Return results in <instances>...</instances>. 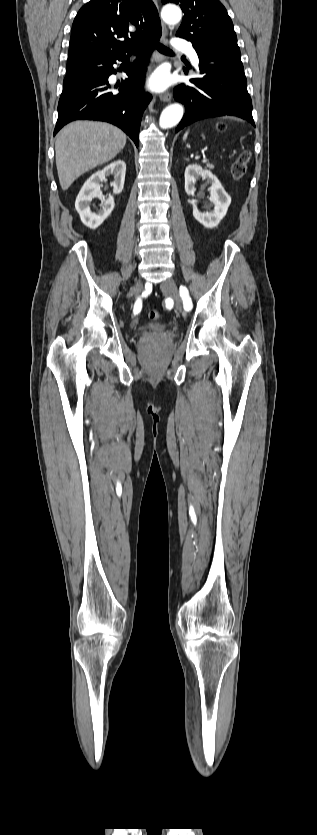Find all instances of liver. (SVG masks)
Returning a JSON list of instances; mask_svg holds the SVG:
<instances>
[{"label":"liver","instance_id":"6515ba94","mask_svg":"<svg viewBox=\"0 0 317 835\" xmlns=\"http://www.w3.org/2000/svg\"><path fill=\"white\" fill-rule=\"evenodd\" d=\"M126 139L122 130L104 122L76 121L65 126L55 142L61 188L67 190L80 175L117 156Z\"/></svg>","mask_w":317,"mask_h":835}]
</instances>
